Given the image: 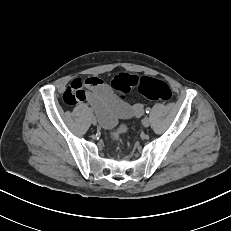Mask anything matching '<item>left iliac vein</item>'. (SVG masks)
Segmentation results:
<instances>
[{
  "mask_svg": "<svg viewBox=\"0 0 231 231\" xmlns=\"http://www.w3.org/2000/svg\"><path fill=\"white\" fill-rule=\"evenodd\" d=\"M151 123V120L149 117H144L143 120H142V124L144 127H148Z\"/></svg>",
  "mask_w": 231,
  "mask_h": 231,
  "instance_id": "1",
  "label": "left iliac vein"
}]
</instances>
